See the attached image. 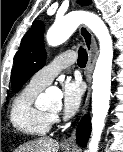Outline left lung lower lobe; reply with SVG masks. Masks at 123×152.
Listing matches in <instances>:
<instances>
[{
	"mask_svg": "<svg viewBox=\"0 0 123 152\" xmlns=\"http://www.w3.org/2000/svg\"><path fill=\"white\" fill-rule=\"evenodd\" d=\"M91 131V123L89 117H84L77 129L76 142L81 147H85Z\"/></svg>",
	"mask_w": 123,
	"mask_h": 152,
	"instance_id": "obj_1",
	"label": "left lung lower lobe"
}]
</instances>
